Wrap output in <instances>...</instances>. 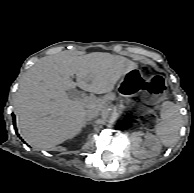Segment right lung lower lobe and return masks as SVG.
<instances>
[{
  "mask_svg": "<svg viewBox=\"0 0 194 193\" xmlns=\"http://www.w3.org/2000/svg\"><path fill=\"white\" fill-rule=\"evenodd\" d=\"M13 124H14V127L16 126L15 125V116H13ZM17 133V132H16Z\"/></svg>",
  "mask_w": 194,
  "mask_h": 193,
  "instance_id": "98d812e1",
  "label": "right lung lower lobe"
}]
</instances>
